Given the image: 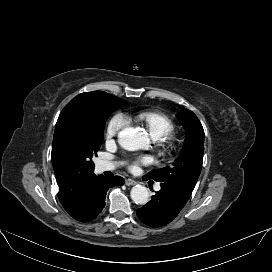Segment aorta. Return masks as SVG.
I'll list each match as a JSON object with an SVG mask.
<instances>
[{"label": "aorta", "mask_w": 272, "mask_h": 272, "mask_svg": "<svg viewBox=\"0 0 272 272\" xmlns=\"http://www.w3.org/2000/svg\"><path fill=\"white\" fill-rule=\"evenodd\" d=\"M119 145L126 150L143 148L147 143L146 132L138 127H126L118 134ZM131 199L134 203L144 205L149 200V192L145 186L136 185L131 189Z\"/></svg>", "instance_id": "obj_1"}]
</instances>
